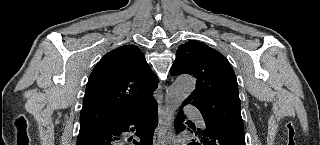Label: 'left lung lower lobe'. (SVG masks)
<instances>
[{"instance_id":"obj_1","label":"left lung lower lobe","mask_w":320,"mask_h":145,"mask_svg":"<svg viewBox=\"0 0 320 145\" xmlns=\"http://www.w3.org/2000/svg\"><path fill=\"white\" fill-rule=\"evenodd\" d=\"M185 104H188L185 102ZM186 117L180 111L175 120V129L183 131L186 127L182 123ZM196 137L187 145H246L244 131L231 129L224 126L206 127L198 130L193 127Z\"/></svg>"}]
</instances>
